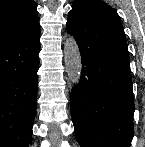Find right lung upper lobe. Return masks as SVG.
Masks as SVG:
<instances>
[{
  "instance_id": "right-lung-upper-lobe-1",
  "label": "right lung upper lobe",
  "mask_w": 145,
  "mask_h": 147,
  "mask_svg": "<svg viewBox=\"0 0 145 147\" xmlns=\"http://www.w3.org/2000/svg\"><path fill=\"white\" fill-rule=\"evenodd\" d=\"M33 0H0V44L39 27Z\"/></svg>"
}]
</instances>
